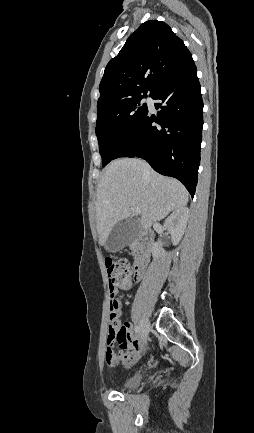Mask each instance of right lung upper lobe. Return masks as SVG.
<instances>
[{
    "mask_svg": "<svg viewBox=\"0 0 254 433\" xmlns=\"http://www.w3.org/2000/svg\"><path fill=\"white\" fill-rule=\"evenodd\" d=\"M192 55L164 22L150 20L130 35L119 54L107 64L97 111L135 99L152 97Z\"/></svg>",
    "mask_w": 254,
    "mask_h": 433,
    "instance_id": "cb5924a9",
    "label": "right lung upper lobe"
}]
</instances>
